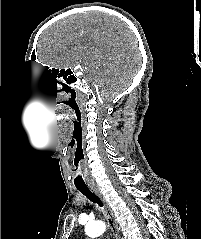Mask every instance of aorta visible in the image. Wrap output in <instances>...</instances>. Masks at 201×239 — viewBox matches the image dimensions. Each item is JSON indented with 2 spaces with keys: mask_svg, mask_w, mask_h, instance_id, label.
<instances>
[{
  "mask_svg": "<svg viewBox=\"0 0 201 239\" xmlns=\"http://www.w3.org/2000/svg\"><path fill=\"white\" fill-rule=\"evenodd\" d=\"M106 226L102 221L90 222L85 227V233L91 238H95L104 234Z\"/></svg>",
  "mask_w": 201,
  "mask_h": 239,
  "instance_id": "obj_1",
  "label": "aorta"
}]
</instances>
